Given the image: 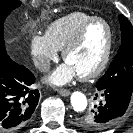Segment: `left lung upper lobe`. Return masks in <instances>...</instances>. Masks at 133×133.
I'll list each match as a JSON object with an SVG mask.
<instances>
[{
    "label": "left lung upper lobe",
    "mask_w": 133,
    "mask_h": 133,
    "mask_svg": "<svg viewBox=\"0 0 133 133\" xmlns=\"http://www.w3.org/2000/svg\"><path fill=\"white\" fill-rule=\"evenodd\" d=\"M119 21L122 43L109 69L96 83L99 91L105 87L117 86L133 92V26L124 15L119 16ZM93 110L77 119L78 125L86 131H98L103 128L93 122Z\"/></svg>",
    "instance_id": "5c2ea615"
}]
</instances>
